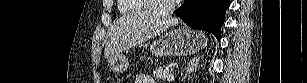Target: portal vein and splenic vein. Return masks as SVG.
Listing matches in <instances>:
<instances>
[{
	"label": "portal vein and splenic vein",
	"mask_w": 307,
	"mask_h": 83,
	"mask_svg": "<svg viewBox=\"0 0 307 83\" xmlns=\"http://www.w3.org/2000/svg\"><path fill=\"white\" fill-rule=\"evenodd\" d=\"M174 79V75L172 73H170L169 75H167V80L171 81Z\"/></svg>",
	"instance_id": "portal-vein-and-splenic-vein-1"
}]
</instances>
